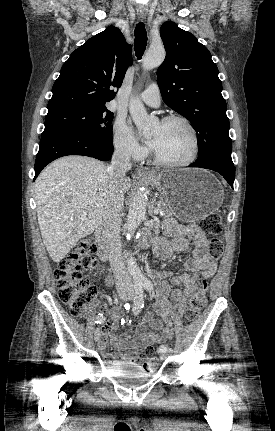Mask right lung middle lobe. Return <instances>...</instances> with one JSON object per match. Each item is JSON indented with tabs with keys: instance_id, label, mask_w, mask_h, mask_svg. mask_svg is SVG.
Here are the masks:
<instances>
[{
	"instance_id": "right-lung-middle-lobe-1",
	"label": "right lung middle lobe",
	"mask_w": 275,
	"mask_h": 431,
	"mask_svg": "<svg viewBox=\"0 0 275 431\" xmlns=\"http://www.w3.org/2000/svg\"><path fill=\"white\" fill-rule=\"evenodd\" d=\"M113 113L105 105L66 108L48 112L44 133L68 131L112 142Z\"/></svg>"
}]
</instances>
